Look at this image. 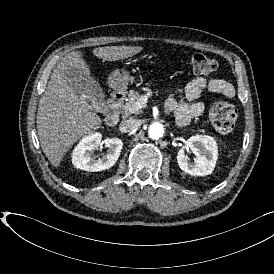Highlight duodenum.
<instances>
[{
  "label": "duodenum",
  "mask_w": 274,
  "mask_h": 274,
  "mask_svg": "<svg viewBox=\"0 0 274 274\" xmlns=\"http://www.w3.org/2000/svg\"><path fill=\"white\" fill-rule=\"evenodd\" d=\"M123 102V94L119 92L112 93L108 99L107 106L110 113L107 117V123L110 127H115L120 119L119 110Z\"/></svg>",
  "instance_id": "duodenum-1"
}]
</instances>
